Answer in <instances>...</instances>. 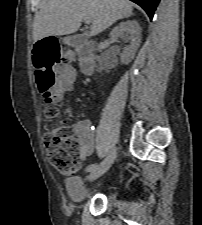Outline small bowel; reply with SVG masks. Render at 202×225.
<instances>
[{
  "label": "small bowel",
  "instance_id": "1",
  "mask_svg": "<svg viewBox=\"0 0 202 225\" xmlns=\"http://www.w3.org/2000/svg\"><path fill=\"white\" fill-rule=\"evenodd\" d=\"M60 74L64 80V84L67 88L73 87L74 82V70L71 65L63 66L59 69ZM73 130L79 140L80 159L86 160L94 151L97 140L94 136V131L88 120H79L73 124Z\"/></svg>",
  "mask_w": 202,
  "mask_h": 225
}]
</instances>
